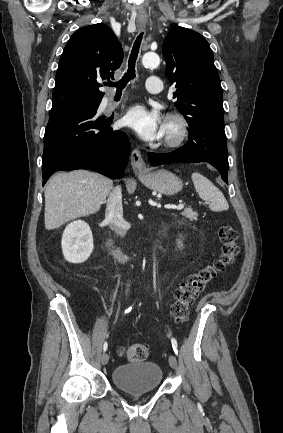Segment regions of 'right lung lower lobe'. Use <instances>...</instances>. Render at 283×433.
Returning <instances> with one entry per match:
<instances>
[{
  "instance_id": "obj_1",
  "label": "right lung lower lobe",
  "mask_w": 283,
  "mask_h": 433,
  "mask_svg": "<svg viewBox=\"0 0 283 433\" xmlns=\"http://www.w3.org/2000/svg\"><path fill=\"white\" fill-rule=\"evenodd\" d=\"M100 102L50 114L44 135L43 185L56 171L90 169L113 179L124 176L131 145L124 132L110 128L112 118L96 117Z\"/></svg>"
}]
</instances>
